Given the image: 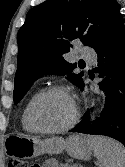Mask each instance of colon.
I'll return each mask as SVG.
<instances>
[{
	"instance_id": "colon-1",
	"label": "colon",
	"mask_w": 125,
	"mask_h": 167,
	"mask_svg": "<svg viewBox=\"0 0 125 167\" xmlns=\"http://www.w3.org/2000/svg\"><path fill=\"white\" fill-rule=\"evenodd\" d=\"M7 167H29L28 164L19 159H11L8 163ZM32 167H39L38 165L32 166Z\"/></svg>"
}]
</instances>
